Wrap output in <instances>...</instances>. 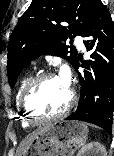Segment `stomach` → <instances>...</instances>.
Segmentation results:
<instances>
[{"mask_svg": "<svg viewBox=\"0 0 114 156\" xmlns=\"http://www.w3.org/2000/svg\"><path fill=\"white\" fill-rule=\"evenodd\" d=\"M86 125L78 121L49 124L31 141L23 156H72L84 145Z\"/></svg>", "mask_w": 114, "mask_h": 156, "instance_id": "obj_1", "label": "stomach"}]
</instances>
